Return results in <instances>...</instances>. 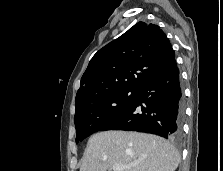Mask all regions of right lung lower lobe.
<instances>
[{
    "label": "right lung lower lobe",
    "instance_id": "1",
    "mask_svg": "<svg viewBox=\"0 0 223 171\" xmlns=\"http://www.w3.org/2000/svg\"><path fill=\"white\" fill-rule=\"evenodd\" d=\"M184 108L179 69L174 60L164 71L143 85L132 104L105 130H127L178 139Z\"/></svg>",
    "mask_w": 223,
    "mask_h": 171
}]
</instances>
